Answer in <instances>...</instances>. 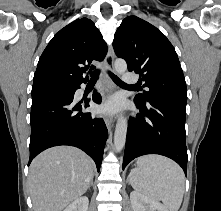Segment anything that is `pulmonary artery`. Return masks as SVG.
<instances>
[{
  "label": "pulmonary artery",
  "mask_w": 221,
  "mask_h": 211,
  "mask_svg": "<svg viewBox=\"0 0 221 211\" xmlns=\"http://www.w3.org/2000/svg\"><path fill=\"white\" fill-rule=\"evenodd\" d=\"M123 79H124V82L127 83V84H135L137 83V77L135 74L131 73V72H126L124 75H123Z\"/></svg>",
  "instance_id": "pulmonary-artery-1"
}]
</instances>
